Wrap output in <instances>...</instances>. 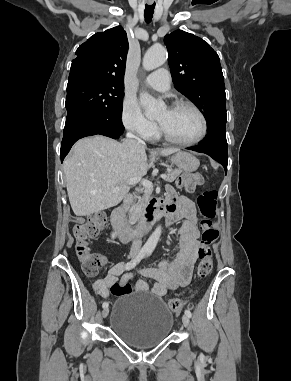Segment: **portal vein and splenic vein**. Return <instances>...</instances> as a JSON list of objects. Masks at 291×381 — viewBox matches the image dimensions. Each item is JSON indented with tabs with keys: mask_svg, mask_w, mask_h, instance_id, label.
<instances>
[{
	"mask_svg": "<svg viewBox=\"0 0 291 381\" xmlns=\"http://www.w3.org/2000/svg\"><path fill=\"white\" fill-rule=\"evenodd\" d=\"M162 179H166V175L165 174H162L161 176H160ZM138 182H141V184L143 185V187H145L146 189H151V188H153V185H152V183L149 181V180H146V179H142V178H134V179H131L130 181H129V184L130 185H133V184H136V183H138ZM119 188L118 187H116L115 188V190H118Z\"/></svg>",
	"mask_w": 291,
	"mask_h": 381,
	"instance_id": "obj_1",
	"label": "portal vein and splenic vein"
}]
</instances>
